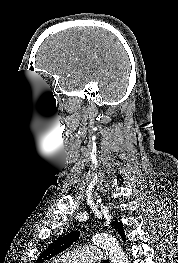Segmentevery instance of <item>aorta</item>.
<instances>
[{"label": "aorta", "mask_w": 178, "mask_h": 263, "mask_svg": "<svg viewBox=\"0 0 178 263\" xmlns=\"http://www.w3.org/2000/svg\"><path fill=\"white\" fill-rule=\"evenodd\" d=\"M92 241L106 251L111 263H128L125 253L113 236L98 233L93 235Z\"/></svg>", "instance_id": "obj_1"}]
</instances>
